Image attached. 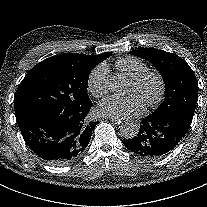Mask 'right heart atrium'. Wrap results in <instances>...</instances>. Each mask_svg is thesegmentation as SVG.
Returning a JSON list of instances; mask_svg holds the SVG:
<instances>
[{
    "mask_svg": "<svg viewBox=\"0 0 207 207\" xmlns=\"http://www.w3.org/2000/svg\"><path fill=\"white\" fill-rule=\"evenodd\" d=\"M108 72L107 63L102 62L95 66L88 75L87 88L97 98L104 96L108 92Z\"/></svg>",
    "mask_w": 207,
    "mask_h": 207,
    "instance_id": "1",
    "label": "right heart atrium"
}]
</instances>
